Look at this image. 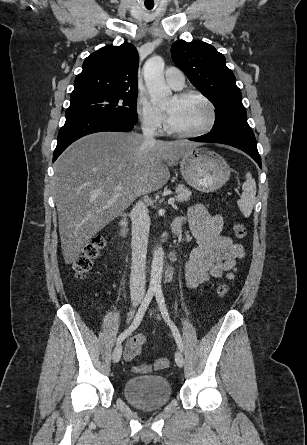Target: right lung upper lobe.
Listing matches in <instances>:
<instances>
[{
    "mask_svg": "<svg viewBox=\"0 0 307 445\" xmlns=\"http://www.w3.org/2000/svg\"><path fill=\"white\" fill-rule=\"evenodd\" d=\"M138 53L130 43L106 46L88 56L71 97L137 93Z\"/></svg>",
    "mask_w": 307,
    "mask_h": 445,
    "instance_id": "obj_1",
    "label": "right lung upper lobe"
}]
</instances>
